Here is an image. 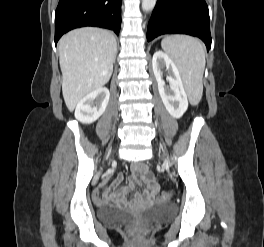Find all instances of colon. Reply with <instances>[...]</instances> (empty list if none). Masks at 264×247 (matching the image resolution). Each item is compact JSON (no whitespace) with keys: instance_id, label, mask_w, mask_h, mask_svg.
<instances>
[{"instance_id":"5ec220e1","label":"colon","mask_w":264,"mask_h":247,"mask_svg":"<svg viewBox=\"0 0 264 247\" xmlns=\"http://www.w3.org/2000/svg\"><path fill=\"white\" fill-rule=\"evenodd\" d=\"M171 197H172V194L170 191H162L158 194L157 201L159 203H164V202H167L168 200H170Z\"/></svg>"}]
</instances>
